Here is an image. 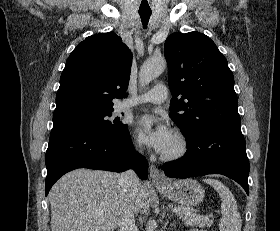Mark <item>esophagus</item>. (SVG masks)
<instances>
[{"mask_svg": "<svg viewBox=\"0 0 280 231\" xmlns=\"http://www.w3.org/2000/svg\"><path fill=\"white\" fill-rule=\"evenodd\" d=\"M150 180L152 181H164L165 177L160 173L159 169L154 164H150Z\"/></svg>", "mask_w": 280, "mask_h": 231, "instance_id": "1", "label": "esophagus"}]
</instances>
